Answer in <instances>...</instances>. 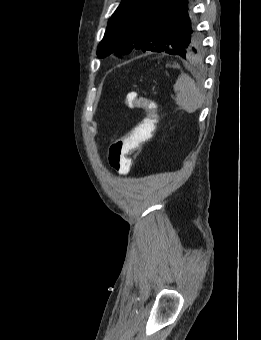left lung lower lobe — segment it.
<instances>
[{"instance_id": "left-lung-lower-lobe-1", "label": "left lung lower lobe", "mask_w": 261, "mask_h": 340, "mask_svg": "<svg viewBox=\"0 0 261 340\" xmlns=\"http://www.w3.org/2000/svg\"><path fill=\"white\" fill-rule=\"evenodd\" d=\"M190 7L192 8L191 0H165L161 11L168 14L167 18L178 20L189 12Z\"/></svg>"}]
</instances>
